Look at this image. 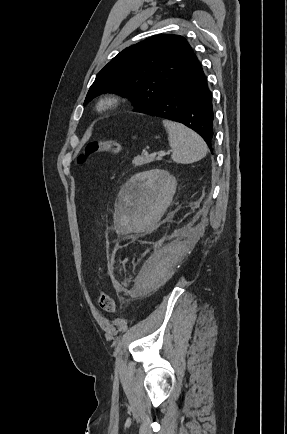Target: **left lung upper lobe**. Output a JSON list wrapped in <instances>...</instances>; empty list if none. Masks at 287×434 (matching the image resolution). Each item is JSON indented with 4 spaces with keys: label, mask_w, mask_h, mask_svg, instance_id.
Here are the masks:
<instances>
[{
    "label": "left lung upper lobe",
    "mask_w": 287,
    "mask_h": 434,
    "mask_svg": "<svg viewBox=\"0 0 287 434\" xmlns=\"http://www.w3.org/2000/svg\"><path fill=\"white\" fill-rule=\"evenodd\" d=\"M197 63L182 36H152L124 49L97 74L84 105L102 93L114 92L131 98L138 112L156 104Z\"/></svg>",
    "instance_id": "obj_1"
}]
</instances>
